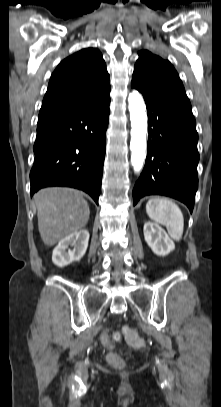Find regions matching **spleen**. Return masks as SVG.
Listing matches in <instances>:
<instances>
[{
	"label": "spleen",
	"instance_id": "3e777b00",
	"mask_svg": "<svg viewBox=\"0 0 221 407\" xmlns=\"http://www.w3.org/2000/svg\"><path fill=\"white\" fill-rule=\"evenodd\" d=\"M148 216L166 226L171 238L179 241L183 235L184 218L180 208L167 198H151L146 204Z\"/></svg>",
	"mask_w": 221,
	"mask_h": 407
}]
</instances>
